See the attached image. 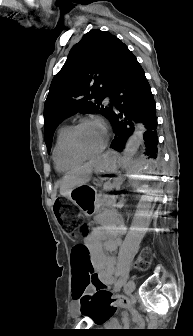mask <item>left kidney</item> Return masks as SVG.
<instances>
[{
    "instance_id": "5707ae66",
    "label": "left kidney",
    "mask_w": 193,
    "mask_h": 336,
    "mask_svg": "<svg viewBox=\"0 0 193 336\" xmlns=\"http://www.w3.org/2000/svg\"><path fill=\"white\" fill-rule=\"evenodd\" d=\"M149 201V197L148 196H142L141 198H140V205L142 206V207H144L145 208V206H147V202ZM148 211H143V213H147Z\"/></svg>"
}]
</instances>
